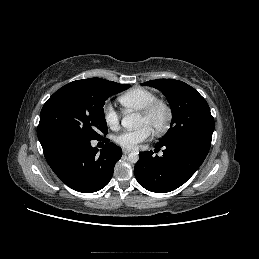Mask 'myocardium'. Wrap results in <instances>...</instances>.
Listing matches in <instances>:
<instances>
[{"label": "myocardium", "instance_id": "1", "mask_svg": "<svg viewBox=\"0 0 259 259\" xmlns=\"http://www.w3.org/2000/svg\"><path fill=\"white\" fill-rule=\"evenodd\" d=\"M157 109H163L165 113V117L162 124L153 130V132L156 135H160L164 133L171 124L172 116H173L171 106L165 100L155 99L152 102H150L148 105H146L143 109H141L139 113L143 117L149 118Z\"/></svg>", "mask_w": 259, "mask_h": 259}]
</instances>
